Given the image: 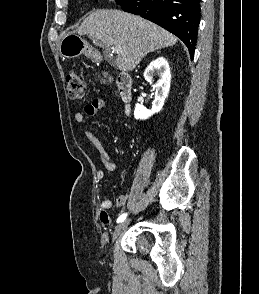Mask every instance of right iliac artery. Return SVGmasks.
I'll use <instances>...</instances> for the list:
<instances>
[{
    "mask_svg": "<svg viewBox=\"0 0 259 294\" xmlns=\"http://www.w3.org/2000/svg\"><path fill=\"white\" fill-rule=\"evenodd\" d=\"M126 217H127V213L120 215L117 219V223L124 221L126 219Z\"/></svg>",
    "mask_w": 259,
    "mask_h": 294,
    "instance_id": "82829eb1",
    "label": "right iliac artery"
}]
</instances>
